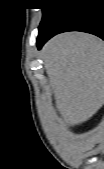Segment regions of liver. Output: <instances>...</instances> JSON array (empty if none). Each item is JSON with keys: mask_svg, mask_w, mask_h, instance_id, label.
Returning a JSON list of instances; mask_svg holds the SVG:
<instances>
[{"mask_svg": "<svg viewBox=\"0 0 104 169\" xmlns=\"http://www.w3.org/2000/svg\"><path fill=\"white\" fill-rule=\"evenodd\" d=\"M56 108L68 126L90 119L104 102V44L98 37L63 33L42 49Z\"/></svg>", "mask_w": 104, "mask_h": 169, "instance_id": "liver-1", "label": "liver"}]
</instances>
